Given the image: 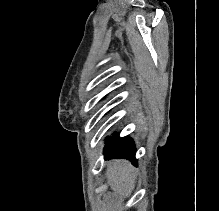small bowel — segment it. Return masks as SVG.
I'll return each mask as SVG.
<instances>
[{
    "instance_id": "c3829d8e",
    "label": "small bowel",
    "mask_w": 219,
    "mask_h": 211,
    "mask_svg": "<svg viewBox=\"0 0 219 211\" xmlns=\"http://www.w3.org/2000/svg\"><path fill=\"white\" fill-rule=\"evenodd\" d=\"M106 204H107L108 207L114 208V206H115V201L113 200L112 197H107V199H106Z\"/></svg>"
}]
</instances>
